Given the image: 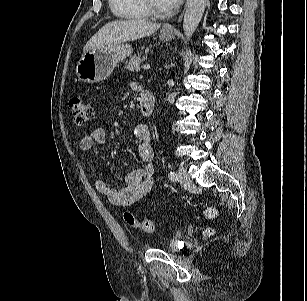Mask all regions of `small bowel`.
I'll use <instances>...</instances> for the list:
<instances>
[{"label":"small bowel","mask_w":307,"mask_h":301,"mask_svg":"<svg viewBox=\"0 0 307 301\" xmlns=\"http://www.w3.org/2000/svg\"><path fill=\"white\" fill-rule=\"evenodd\" d=\"M137 140V152L145 166L141 169L131 171L123 177V183L119 188L111 187L103 179L95 180L97 191L105 196L114 205L126 207L147 197L154 184V151L151 145V134L145 124H139L134 129ZM107 141L106 132L103 128L96 127L86 133L80 141V149L91 152L94 145H104Z\"/></svg>","instance_id":"1"}]
</instances>
